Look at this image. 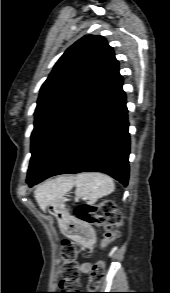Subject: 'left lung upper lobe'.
Returning a JSON list of instances; mask_svg holds the SVG:
<instances>
[{"instance_id": "obj_1", "label": "left lung upper lobe", "mask_w": 170, "mask_h": 293, "mask_svg": "<svg viewBox=\"0 0 170 293\" xmlns=\"http://www.w3.org/2000/svg\"><path fill=\"white\" fill-rule=\"evenodd\" d=\"M120 78L113 49L101 36L87 35L65 51L40 90L28 176L46 169Z\"/></svg>"}]
</instances>
